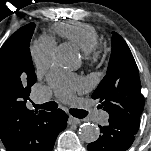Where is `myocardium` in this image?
<instances>
[{"instance_id":"f54148a6","label":"myocardium","mask_w":151,"mask_h":151,"mask_svg":"<svg viewBox=\"0 0 151 151\" xmlns=\"http://www.w3.org/2000/svg\"><path fill=\"white\" fill-rule=\"evenodd\" d=\"M84 56H85L86 59H89V60L95 59L98 56L97 47L90 50V51L84 52Z\"/></svg>"}]
</instances>
